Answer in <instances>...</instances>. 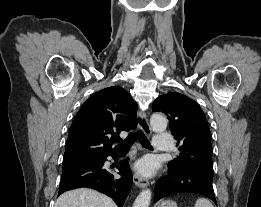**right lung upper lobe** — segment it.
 Here are the masks:
<instances>
[{
  "mask_svg": "<svg viewBox=\"0 0 261 207\" xmlns=\"http://www.w3.org/2000/svg\"><path fill=\"white\" fill-rule=\"evenodd\" d=\"M137 104L123 88L112 86L94 93L77 113L67 138L63 161L98 158L117 153L121 131L136 128Z\"/></svg>",
  "mask_w": 261,
  "mask_h": 207,
  "instance_id": "obj_1",
  "label": "right lung upper lobe"
}]
</instances>
